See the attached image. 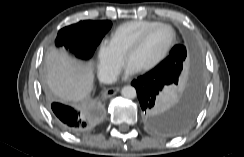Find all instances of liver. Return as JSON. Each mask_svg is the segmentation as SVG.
I'll use <instances>...</instances> for the list:
<instances>
[{"label": "liver", "instance_id": "6515ba94", "mask_svg": "<svg viewBox=\"0 0 244 157\" xmlns=\"http://www.w3.org/2000/svg\"><path fill=\"white\" fill-rule=\"evenodd\" d=\"M46 80L53 94L64 102H79L93 88V63H83L64 50L51 49L45 57Z\"/></svg>", "mask_w": 244, "mask_h": 157}]
</instances>
